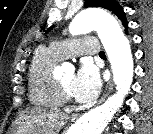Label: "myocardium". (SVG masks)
Listing matches in <instances>:
<instances>
[{"label": "myocardium", "mask_w": 153, "mask_h": 134, "mask_svg": "<svg viewBox=\"0 0 153 134\" xmlns=\"http://www.w3.org/2000/svg\"><path fill=\"white\" fill-rule=\"evenodd\" d=\"M56 84L61 98L64 101H71V94L63 87V85L58 80H56Z\"/></svg>", "instance_id": "f54148a6"}]
</instances>
